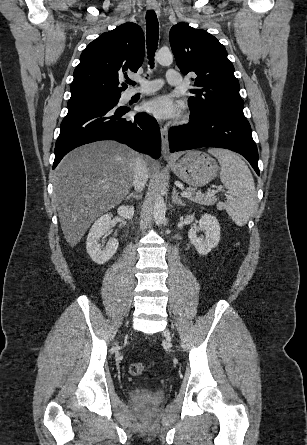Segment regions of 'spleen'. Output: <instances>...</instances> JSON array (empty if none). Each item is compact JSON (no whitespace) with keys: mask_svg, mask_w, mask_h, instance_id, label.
<instances>
[{"mask_svg":"<svg viewBox=\"0 0 307 445\" xmlns=\"http://www.w3.org/2000/svg\"><path fill=\"white\" fill-rule=\"evenodd\" d=\"M220 162V178L227 188L225 210L235 225L244 227L257 208L255 182L249 166L232 150L208 148Z\"/></svg>","mask_w":307,"mask_h":445,"instance_id":"1","label":"spleen"}]
</instances>
